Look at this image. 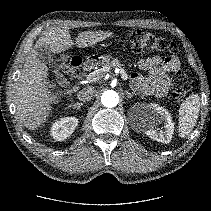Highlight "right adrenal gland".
<instances>
[{"instance_id": "1", "label": "right adrenal gland", "mask_w": 211, "mask_h": 211, "mask_svg": "<svg viewBox=\"0 0 211 211\" xmlns=\"http://www.w3.org/2000/svg\"><path fill=\"white\" fill-rule=\"evenodd\" d=\"M83 106V103L82 102H76L74 104H71L68 106V108H73V109H76V110H80L81 107Z\"/></svg>"}]
</instances>
